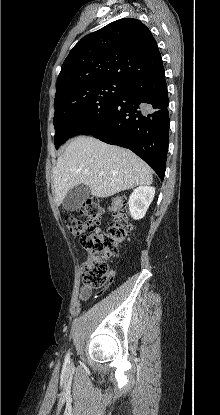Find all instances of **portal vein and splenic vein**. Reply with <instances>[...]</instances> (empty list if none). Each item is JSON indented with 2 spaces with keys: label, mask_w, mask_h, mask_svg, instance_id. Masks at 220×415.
Instances as JSON below:
<instances>
[{
  "label": "portal vein and splenic vein",
  "mask_w": 220,
  "mask_h": 415,
  "mask_svg": "<svg viewBox=\"0 0 220 415\" xmlns=\"http://www.w3.org/2000/svg\"><path fill=\"white\" fill-rule=\"evenodd\" d=\"M100 175H103V172L99 173Z\"/></svg>",
  "instance_id": "18ae733b"
}]
</instances>
